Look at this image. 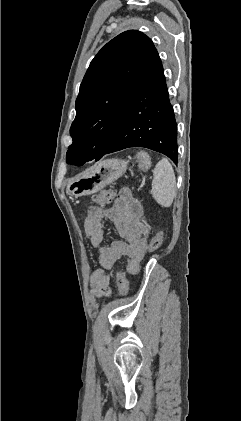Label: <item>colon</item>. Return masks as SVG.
I'll use <instances>...</instances> for the list:
<instances>
[{"mask_svg":"<svg viewBox=\"0 0 241 421\" xmlns=\"http://www.w3.org/2000/svg\"><path fill=\"white\" fill-rule=\"evenodd\" d=\"M137 161L142 169H146L149 166V158L146 154L140 153L137 155ZM116 192L114 190H103L97 194L94 198L95 202L99 205H105L112 202L115 198ZM163 242V235L161 232H157L148 244V251L153 252L157 250ZM127 271L129 274H136L139 271V261L136 259H128ZM116 285L121 294L125 295L129 290V283L126 274L123 271H119L116 274Z\"/></svg>","mask_w":241,"mask_h":421,"instance_id":"obj_1","label":"colon"}]
</instances>
